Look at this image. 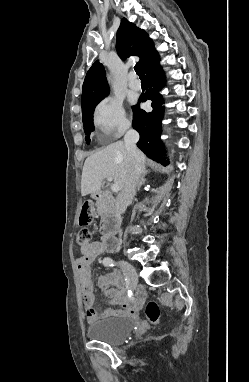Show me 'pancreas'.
<instances>
[{
    "label": "pancreas",
    "instance_id": "pancreas-1",
    "mask_svg": "<svg viewBox=\"0 0 249 382\" xmlns=\"http://www.w3.org/2000/svg\"><path fill=\"white\" fill-rule=\"evenodd\" d=\"M97 206V212L100 216H104L105 210H104V202L101 200H98L96 203Z\"/></svg>",
    "mask_w": 249,
    "mask_h": 382
}]
</instances>
